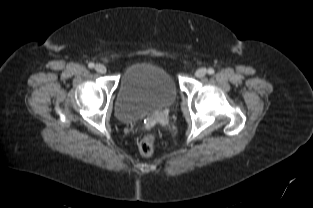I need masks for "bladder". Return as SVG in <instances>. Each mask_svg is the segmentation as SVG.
Segmentation results:
<instances>
[{
  "mask_svg": "<svg viewBox=\"0 0 313 208\" xmlns=\"http://www.w3.org/2000/svg\"><path fill=\"white\" fill-rule=\"evenodd\" d=\"M178 86L163 66L142 62L130 66L119 81L115 114L129 122L159 112L177 98Z\"/></svg>",
  "mask_w": 313,
  "mask_h": 208,
  "instance_id": "bladder-1",
  "label": "bladder"
}]
</instances>
